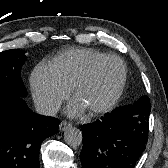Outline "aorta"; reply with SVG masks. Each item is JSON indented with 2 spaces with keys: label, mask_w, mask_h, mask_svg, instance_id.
<instances>
[{
  "label": "aorta",
  "mask_w": 168,
  "mask_h": 168,
  "mask_svg": "<svg viewBox=\"0 0 168 168\" xmlns=\"http://www.w3.org/2000/svg\"><path fill=\"white\" fill-rule=\"evenodd\" d=\"M65 142L72 147H77L82 143V132L75 127L68 128L64 133Z\"/></svg>",
  "instance_id": "aorta-1"
}]
</instances>
